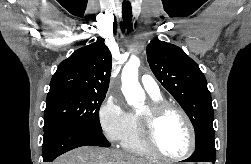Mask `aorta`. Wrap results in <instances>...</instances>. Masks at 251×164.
I'll return each instance as SVG.
<instances>
[{
	"label": "aorta",
	"mask_w": 251,
	"mask_h": 164,
	"mask_svg": "<svg viewBox=\"0 0 251 164\" xmlns=\"http://www.w3.org/2000/svg\"><path fill=\"white\" fill-rule=\"evenodd\" d=\"M140 60L136 56H131L122 70V92L127 103L135 108L143 106L145 93L138 82V68Z\"/></svg>",
	"instance_id": "762f6f07"
}]
</instances>
